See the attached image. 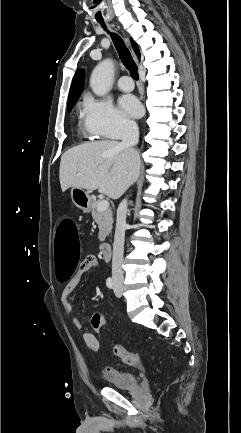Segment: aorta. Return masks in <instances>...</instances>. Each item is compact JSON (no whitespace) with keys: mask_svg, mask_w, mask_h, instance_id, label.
<instances>
[{"mask_svg":"<svg viewBox=\"0 0 241 433\" xmlns=\"http://www.w3.org/2000/svg\"><path fill=\"white\" fill-rule=\"evenodd\" d=\"M114 77V63L111 59L100 62L93 70L90 86L97 96H105L112 87Z\"/></svg>","mask_w":241,"mask_h":433,"instance_id":"aorta-1","label":"aorta"}]
</instances>
